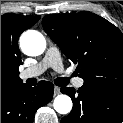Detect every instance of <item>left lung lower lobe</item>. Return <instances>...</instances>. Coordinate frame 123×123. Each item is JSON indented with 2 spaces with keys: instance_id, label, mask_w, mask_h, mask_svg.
<instances>
[{
  "instance_id": "left-lung-lower-lobe-1",
  "label": "left lung lower lobe",
  "mask_w": 123,
  "mask_h": 123,
  "mask_svg": "<svg viewBox=\"0 0 123 123\" xmlns=\"http://www.w3.org/2000/svg\"><path fill=\"white\" fill-rule=\"evenodd\" d=\"M71 97L73 109L61 123H122L123 92L84 84L74 88H62Z\"/></svg>"
}]
</instances>
